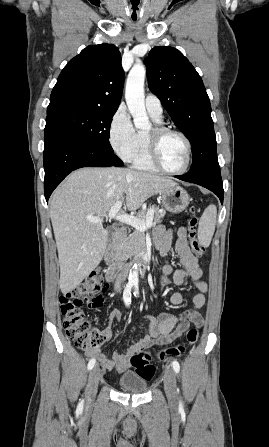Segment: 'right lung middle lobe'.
Returning <instances> with one entry per match:
<instances>
[{
    "label": "right lung middle lobe",
    "mask_w": 269,
    "mask_h": 447,
    "mask_svg": "<svg viewBox=\"0 0 269 447\" xmlns=\"http://www.w3.org/2000/svg\"><path fill=\"white\" fill-rule=\"evenodd\" d=\"M115 112L103 109H60L47 113L46 126L65 130L77 138L113 151L108 135Z\"/></svg>",
    "instance_id": "right-lung-middle-lobe-1"
}]
</instances>
